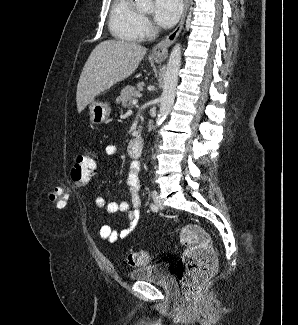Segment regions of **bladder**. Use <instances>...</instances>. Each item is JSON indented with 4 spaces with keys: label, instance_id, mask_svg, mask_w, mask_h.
<instances>
[{
    "label": "bladder",
    "instance_id": "obj_1",
    "mask_svg": "<svg viewBox=\"0 0 298 325\" xmlns=\"http://www.w3.org/2000/svg\"><path fill=\"white\" fill-rule=\"evenodd\" d=\"M129 278L134 281L149 282L167 290H172L174 287L173 277L159 264L141 266L131 271Z\"/></svg>",
    "mask_w": 298,
    "mask_h": 325
}]
</instances>
